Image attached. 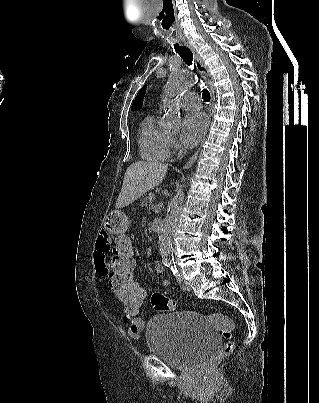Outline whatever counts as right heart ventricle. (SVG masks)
<instances>
[{
  "label": "right heart ventricle",
  "mask_w": 319,
  "mask_h": 403,
  "mask_svg": "<svg viewBox=\"0 0 319 403\" xmlns=\"http://www.w3.org/2000/svg\"><path fill=\"white\" fill-rule=\"evenodd\" d=\"M169 138L158 124L156 115H147L140 124V155L149 161L165 160L169 155Z\"/></svg>",
  "instance_id": "e07e8e85"
}]
</instances>
